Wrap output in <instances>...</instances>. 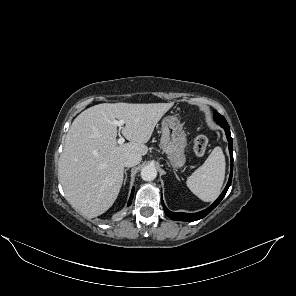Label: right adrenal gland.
Listing matches in <instances>:
<instances>
[{
    "mask_svg": "<svg viewBox=\"0 0 296 296\" xmlns=\"http://www.w3.org/2000/svg\"><path fill=\"white\" fill-rule=\"evenodd\" d=\"M129 168H126L125 169V171H124V173H125V178H124V185H125V183H126V180H127V170H128Z\"/></svg>",
    "mask_w": 296,
    "mask_h": 296,
    "instance_id": "right-adrenal-gland-1",
    "label": "right adrenal gland"
}]
</instances>
